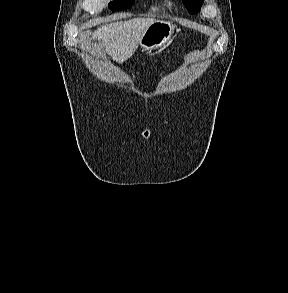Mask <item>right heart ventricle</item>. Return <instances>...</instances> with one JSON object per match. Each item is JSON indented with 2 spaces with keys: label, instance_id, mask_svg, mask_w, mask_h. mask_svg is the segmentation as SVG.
<instances>
[{
  "label": "right heart ventricle",
  "instance_id": "right-heart-ventricle-1",
  "mask_svg": "<svg viewBox=\"0 0 288 293\" xmlns=\"http://www.w3.org/2000/svg\"><path fill=\"white\" fill-rule=\"evenodd\" d=\"M161 7H162V5H160V4H155V5L153 6L154 9H159V8H161Z\"/></svg>",
  "mask_w": 288,
  "mask_h": 293
}]
</instances>
